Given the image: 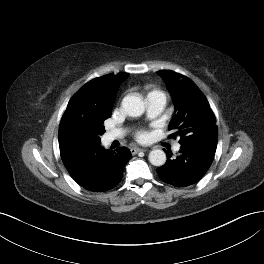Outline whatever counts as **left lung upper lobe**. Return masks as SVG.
<instances>
[{
  "label": "left lung upper lobe",
  "instance_id": "5c2ea615",
  "mask_svg": "<svg viewBox=\"0 0 264 264\" xmlns=\"http://www.w3.org/2000/svg\"><path fill=\"white\" fill-rule=\"evenodd\" d=\"M175 105V114L168 129L179 136L181 146L217 147L218 127L210 105L199 88L185 76L170 70L157 72Z\"/></svg>",
  "mask_w": 264,
  "mask_h": 264
}]
</instances>
